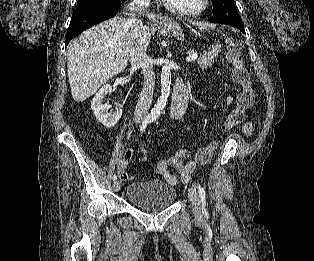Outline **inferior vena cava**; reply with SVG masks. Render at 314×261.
Segmentation results:
<instances>
[{"label": "inferior vena cava", "mask_w": 314, "mask_h": 261, "mask_svg": "<svg viewBox=\"0 0 314 261\" xmlns=\"http://www.w3.org/2000/svg\"><path fill=\"white\" fill-rule=\"evenodd\" d=\"M148 6L149 0H133L129 9L135 12ZM126 27L129 30L128 61L131 63L132 68H140L144 76L143 88L134 112V118L137 120L145 118L150 109L153 100L155 75L152 62L141 45L143 22L136 17H132L127 20Z\"/></svg>", "instance_id": "obj_1"}]
</instances>
